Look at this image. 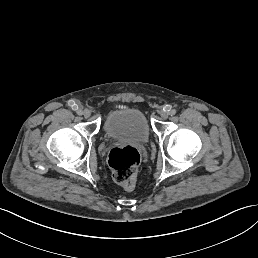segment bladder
<instances>
[{
	"label": "bladder",
	"mask_w": 258,
	"mask_h": 258,
	"mask_svg": "<svg viewBox=\"0 0 258 258\" xmlns=\"http://www.w3.org/2000/svg\"><path fill=\"white\" fill-rule=\"evenodd\" d=\"M104 132L112 139L145 143L150 136V127L142 111L136 108H122L107 115Z\"/></svg>",
	"instance_id": "31cf9c89"
}]
</instances>
